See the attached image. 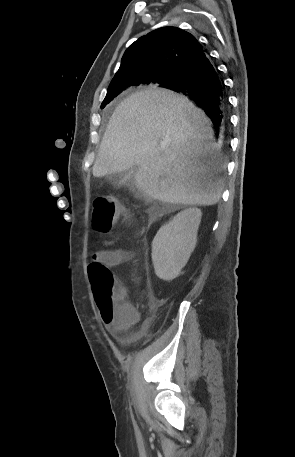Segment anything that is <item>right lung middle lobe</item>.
Wrapping results in <instances>:
<instances>
[{"mask_svg":"<svg viewBox=\"0 0 295 457\" xmlns=\"http://www.w3.org/2000/svg\"><path fill=\"white\" fill-rule=\"evenodd\" d=\"M174 78H172L169 81L174 80ZM138 85H140V84H137L136 86H138ZM130 86H132V84H118V85H115L113 87H109L108 91H107V95H106V97H105V99H104V101H103V103L101 105V108H104L109 102H111L113 100V98H115L124 89H126L127 87H130Z\"/></svg>","mask_w":295,"mask_h":457,"instance_id":"right-lung-middle-lobe-1","label":"right lung middle lobe"}]
</instances>
